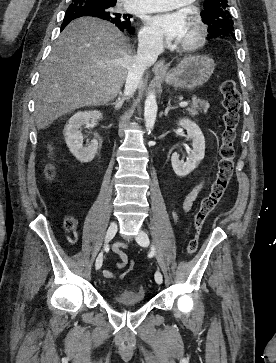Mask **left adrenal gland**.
Returning <instances> with one entry per match:
<instances>
[{"label": "left adrenal gland", "instance_id": "1", "mask_svg": "<svg viewBox=\"0 0 276 363\" xmlns=\"http://www.w3.org/2000/svg\"><path fill=\"white\" fill-rule=\"evenodd\" d=\"M173 109H176V107H172V106H171V100L169 99V101H168V105H167V108L165 109V112H164V115H165V116H167V115H168V112H169L170 110H173Z\"/></svg>", "mask_w": 276, "mask_h": 363}]
</instances>
